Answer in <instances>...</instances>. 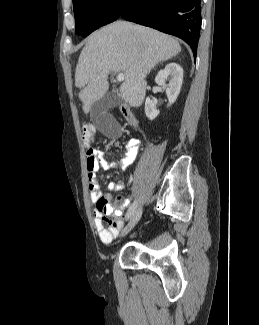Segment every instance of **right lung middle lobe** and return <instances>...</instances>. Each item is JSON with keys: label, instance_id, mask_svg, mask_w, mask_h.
Returning a JSON list of instances; mask_svg holds the SVG:
<instances>
[{"label": "right lung middle lobe", "instance_id": "obj_1", "mask_svg": "<svg viewBox=\"0 0 259 325\" xmlns=\"http://www.w3.org/2000/svg\"><path fill=\"white\" fill-rule=\"evenodd\" d=\"M126 0H73L75 31L83 37L121 14Z\"/></svg>", "mask_w": 259, "mask_h": 325}]
</instances>
